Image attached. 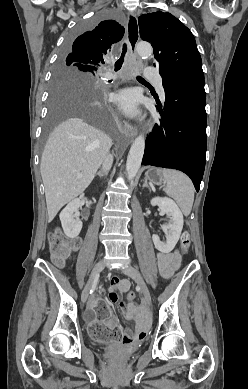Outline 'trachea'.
<instances>
[{"label": "trachea", "instance_id": "3493384b", "mask_svg": "<svg viewBox=\"0 0 248 389\" xmlns=\"http://www.w3.org/2000/svg\"><path fill=\"white\" fill-rule=\"evenodd\" d=\"M126 51H127V47H126V44H124L121 57L115 62V71H118L121 69L122 64L124 62V57H125ZM137 79L141 80V81H145L141 76H137Z\"/></svg>", "mask_w": 248, "mask_h": 389}]
</instances>
